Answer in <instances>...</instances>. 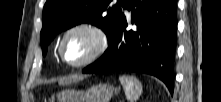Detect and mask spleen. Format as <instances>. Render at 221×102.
<instances>
[{
  "instance_id": "spleen-1",
  "label": "spleen",
  "mask_w": 221,
  "mask_h": 102,
  "mask_svg": "<svg viewBox=\"0 0 221 102\" xmlns=\"http://www.w3.org/2000/svg\"><path fill=\"white\" fill-rule=\"evenodd\" d=\"M119 80L123 86L127 100L129 102H135L142 94L141 82L132 76L126 75L120 76Z\"/></svg>"
}]
</instances>
